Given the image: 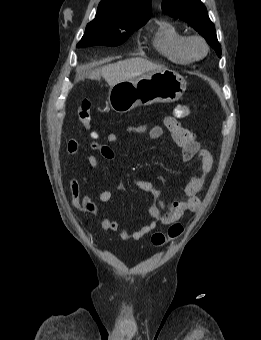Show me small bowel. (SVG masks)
Returning <instances> with one entry per match:
<instances>
[{"instance_id": "small-bowel-1", "label": "small bowel", "mask_w": 261, "mask_h": 340, "mask_svg": "<svg viewBox=\"0 0 261 340\" xmlns=\"http://www.w3.org/2000/svg\"><path fill=\"white\" fill-rule=\"evenodd\" d=\"M164 127L170 132L175 144L182 149L184 161L197 160L196 173L189 179L184 188V199L175 201L169 206H165L161 200V191L149 181L134 178V184L144 192L149 193L155 201L148 207V213L153 219L140 229L130 232L127 228H121L119 223L108 217L101 221V228L105 231L118 232L122 240L132 238L140 240L144 236L152 233L158 225H170L178 221L187 212H196L200 207L199 193L202 191L205 179L210 173L213 165V158L209 151L202 149L199 141L193 133L184 128L175 117L166 116L163 119ZM127 134H147L152 139H160L164 135V129L158 125L141 124L126 128ZM108 143H115L118 136L115 133L107 135ZM80 141L76 138L70 139L67 143V152L72 156H77L80 151ZM90 147L98 151L104 158L113 160L114 151L109 145L101 144L95 140L90 142ZM87 163L92 168H97L99 163L96 155L87 157ZM69 187L71 191V201L73 207L81 213L97 215L100 211L98 204L88 195L81 196L80 186L77 180L70 179ZM112 197L110 190H104L99 194L100 202H108Z\"/></svg>"}]
</instances>
